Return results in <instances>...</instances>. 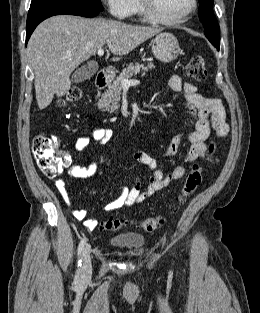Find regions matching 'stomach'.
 <instances>
[{
  "label": "stomach",
  "instance_id": "1",
  "mask_svg": "<svg viewBox=\"0 0 260 313\" xmlns=\"http://www.w3.org/2000/svg\"><path fill=\"white\" fill-rule=\"evenodd\" d=\"M152 52L162 62L169 63L174 61L180 54L177 38L169 32L157 34L152 40Z\"/></svg>",
  "mask_w": 260,
  "mask_h": 313
}]
</instances>
